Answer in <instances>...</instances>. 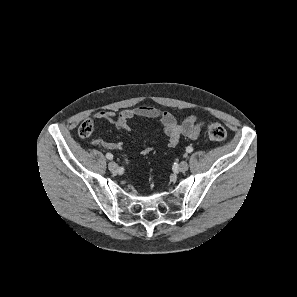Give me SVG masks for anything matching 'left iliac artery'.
<instances>
[{"label":"left iliac artery","mask_w":297,"mask_h":297,"mask_svg":"<svg viewBox=\"0 0 297 297\" xmlns=\"http://www.w3.org/2000/svg\"><path fill=\"white\" fill-rule=\"evenodd\" d=\"M186 151H187L188 153H191V152L193 151V148H192L191 146H188V147L186 148Z\"/></svg>","instance_id":"obj_1"}]
</instances>
